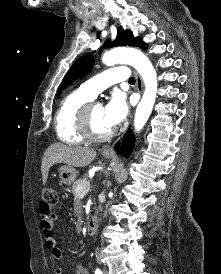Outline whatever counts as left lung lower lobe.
Returning <instances> with one entry per match:
<instances>
[{
    "instance_id": "obj_1",
    "label": "left lung lower lobe",
    "mask_w": 221,
    "mask_h": 274,
    "mask_svg": "<svg viewBox=\"0 0 221 274\" xmlns=\"http://www.w3.org/2000/svg\"><path fill=\"white\" fill-rule=\"evenodd\" d=\"M134 145V135L131 133V131H128L124 137H123V142H120L116 145V150L118 154H122L123 156H126L130 153Z\"/></svg>"
}]
</instances>
